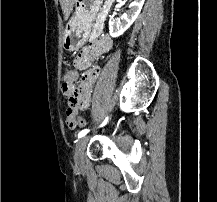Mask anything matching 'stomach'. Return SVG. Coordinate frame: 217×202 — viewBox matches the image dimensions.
I'll use <instances>...</instances> for the list:
<instances>
[{
  "label": "stomach",
  "instance_id": "1",
  "mask_svg": "<svg viewBox=\"0 0 217 202\" xmlns=\"http://www.w3.org/2000/svg\"><path fill=\"white\" fill-rule=\"evenodd\" d=\"M101 2L102 0H76L74 14L67 22L63 34L64 50L76 52L86 44Z\"/></svg>",
  "mask_w": 217,
  "mask_h": 202
}]
</instances>
